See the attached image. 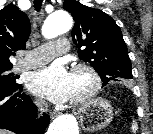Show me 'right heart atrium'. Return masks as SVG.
I'll use <instances>...</instances> for the list:
<instances>
[{"instance_id": "right-heart-atrium-1", "label": "right heart atrium", "mask_w": 153, "mask_h": 134, "mask_svg": "<svg viewBox=\"0 0 153 134\" xmlns=\"http://www.w3.org/2000/svg\"><path fill=\"white\" fill-rule=\"evenodd\" d=\"M37 105L41 106L42 105V102L40 100H37L36 101Z\"/></svg>"}]
</instances>
